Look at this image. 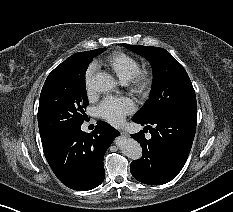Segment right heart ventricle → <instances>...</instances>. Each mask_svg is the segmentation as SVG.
<instances>
[{
    "label": "right heart ventricle",
    "instance_id": "obj_1",
    "mask_svg": "<svg viewBox=\"0 0 233 212\" xmlns=\"http://www.w3.org/2000/svg\"><path fill=\"white\" fill-rule=\"evenodd\" d=\"M104 64L122 81L129 82L140 70L139 61L124 52H113L108 55Z\"/></svg>",
    "mask_w": 233,
    "mask_h": 212
}]
</instances>
